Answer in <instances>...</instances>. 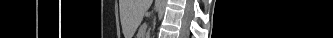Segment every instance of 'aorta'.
Wrapping results in <instances>:
<instances>
[{"label": "aorta", "instance_id": "aorta-1", "mask_svg": "<svg viewBox=\"0 0 333 38\" xmlns=\"http://www.w3.org/2000/svg\"><path fill=\"white\" fill-rule=\"evenodd\" d=\"M167 5V0H156V8L158 11V19L162 20L164 12H165V8Z\"/></svg>", "mask_w": 333, "mask_h": 38}]
</instances>
